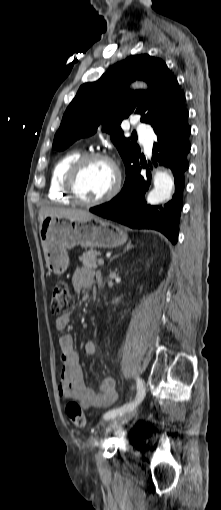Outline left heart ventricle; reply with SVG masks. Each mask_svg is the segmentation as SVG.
Segmentation results:
<instances>
[{"instance_id":"1","label":"left heart ventricle","mask_w":221,"mask_h":510,"mask_svg":"<svg viewBox=\"0 0 221 510\" xmlns=\"http://www.w3.org/2000/svg\"><path fill=\"white\" fill-rule=\"evenodd\" d=\"M115 183L112 166L101 160L87 163L79 175L77 190L85 200H95L107 194Z\"/></svg>"}]
</instances>
